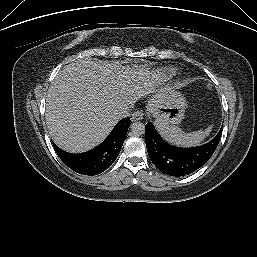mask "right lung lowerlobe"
Instances as JSON below:
<instances>
[{
    "mask_svg": "<svg viewBox=\"0 0 257 257\" xmlns=\"http://www.w3.org/2000/svg\"><path fill=\"white\" fill-rule=\"evenodd\" d=\"M130 124L129 117L123 118L100 145L84 153L72 154L61 150L54 143L53 146L59 158L73 171L97 175L108 169L117 158Z\"/></svg>",
    "mask_w": 257,
    "mask_h": 257,
    "instance_id": "1",
    "label": "right lung lower lobe"
}]
</instances>
